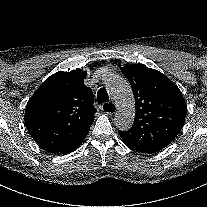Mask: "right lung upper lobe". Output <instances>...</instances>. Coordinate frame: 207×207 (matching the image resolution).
Segmentation results:
<instances>
[{"label":"right lung upper lobe","mask_w":207,"mask_h":207,"mask_svg":"<svg viewBox=\"0 0 207 207\" xmlns=\"http://www.w3.org/2000/svg\"><path fill=\"white\" fill-rule=\"evenodd\" d=\"M87 71L57 72L29 99L25 125L32 138L51 153L67 154L80 146L97 111L84 84Z\"/></svg>","instance_id":"obj_1"}]
</instances>
